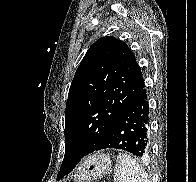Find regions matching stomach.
Listing matches in <instances>:
<instances>
[{
	"label": "stomach",
	"mask_w": 196,
	"mask_h": 182,
	"mask_svg": "<svg viewBox=\"0 0 196 182\" xmlns=\"http://www.w3.org/2000/svg\"><path fill=\"white\" fill-rule=\"evenodd\" d=\"M111 168L110 157L106 154H94L85 159L75 174V182H89L103 177Z\"/></svg>",
	"instance_id": "0dacf381"
}]
</instances>
